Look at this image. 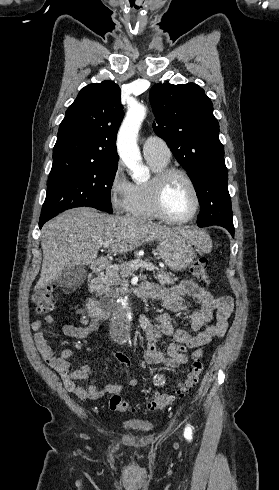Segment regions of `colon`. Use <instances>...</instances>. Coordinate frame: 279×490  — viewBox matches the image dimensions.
<instances>
[{"label": "colon", "mask_w": 279, "mask_h": 490, "mask_svg": "<svg viewBox=\"0 0 279 490\" xmlns=\"http://www.w3.org/2000/svg\"><path fill=\"white\" fill-rule=\"evenodd\" d=\"M191 268L193 275L200 283H202L203 285H208L210 283L208 259L206 257H198L193 262ZM32 300L36 306L37 314L45 315L52 312L55 306L53 286H47L43 290L34 293ZM202 372V360H194L186 378L177 387L156 394L145 404V409L147 411H156L169 406L175 400L181 398L184 394L191 391L195 386L198 385ZM108 405L111 411L122 413H127L131 411L130 404L127 401L122 400V398L118 394L110 395Z\"/></svg>", "instance_id": "colon-1"}]
</instances>
